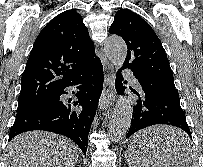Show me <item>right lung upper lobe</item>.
<instances>
[{
	"mask_svg": "<svg viewBox=\"0 0 203 167\" xmlns=\"http://www.w3.org/2000/svg\"><path fill=\"white\" fill-rule=\"evenodd\" d=\"M98 59L81 15L74 10L60 13L34 42L22 74L18 106L52 98Z\"/></svg>",
	"mask_w": 203,
	"mask_h": 167,
	"instance_id": "1",
	"label": "right lung upper lobe"
}]
</instances>
